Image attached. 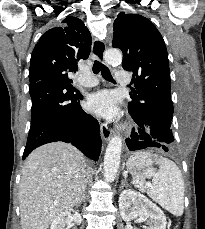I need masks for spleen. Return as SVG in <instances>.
Returning a JSON list of instances; mask_svg holds the SVG:
<instances>
[{"mask_svg":"<svg viewBox=\"0 0 205 229\" xmlns=\"http://www.w3.org/2000/svg\"><path fill=\"white\" fill-rule=\"evenodd\" d=\"M153 164L159 166L156 170ZM133 185L175 216L184 210V180L178 166L168 158L149 152H136L127 161ZM152 178V184L145 182Z\"/></svg>","mask_w":205,"mask_h":229,"instance_id":"obj_1","label":"spleen"}]
</instances>
